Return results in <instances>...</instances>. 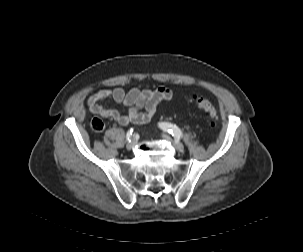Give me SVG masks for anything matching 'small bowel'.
<instances>
[{"label":"small bowel","mask_w":303,"mask_h":252,"mask_svg":"<svg viewBox=\"0 0 303 252\" xmlns=\"http://www.w3.org/2000/svg\"><path fill=\"white\" fill-rule=\"evenodd\" d=\"M174 92L168 87H158L154 90L132 88L126 92L123 88L100 89L91 95L87 101L89 110L103 118L111 119L121 125L144 124L151 120L162 101H172ZM114 101L128 107L126 113L106 108L103 103ZM145 112H142V110Z\"/></svg>","instance_id":"small-bowel-1"}]
</instances>
